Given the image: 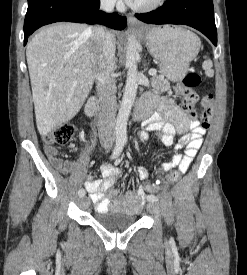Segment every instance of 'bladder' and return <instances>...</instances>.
Instances as JSON below:
<instances>
[{"label": "bladder", "instance_id": "1", "mask_svg": "<svg viewBox=\"0 0 247 275\" xmlns=\"http://www.w3.org/2000/svg\"><path fill=\"white\" fill-rule=\"evenodd\" d=\"M95 221L107 230H125L137 223L135 215L114 211L98 212Z\"/></svg>", "mask_w": 247, "mask_h": 275}]
</instances>
